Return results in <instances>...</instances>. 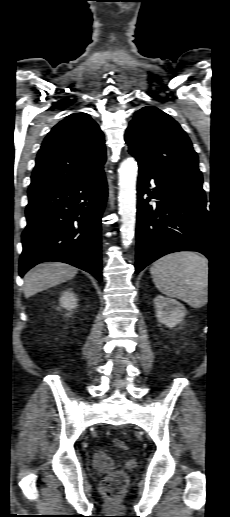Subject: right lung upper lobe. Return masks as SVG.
<instances>
[{"label":"right lung upper lobe","mask_w":230,"mask_h":517,"mask_svg":"<svg viewBox=\"0 0 230 517\" xmlns=\"http://www.w3.org/2000/svg\"><path fill=\"white\" fill-rule=\"evenodd\" d=\"M104 135L86 113H75L55 125L36 158L28 193L89 178L103 170Z\"/></svg>","instance_id":"1"}]
</instances>
